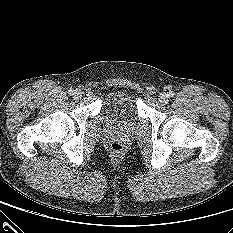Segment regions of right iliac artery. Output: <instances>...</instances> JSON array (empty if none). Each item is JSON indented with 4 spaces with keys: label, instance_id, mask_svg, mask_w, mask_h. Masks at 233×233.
Segmentation results:
<instances>
[{
    "label": "right iliac artery",
    "instance_id": "1",
    "mask_svg": "<svg viewBox=\"0 0 233 233\" xmlns=\"http://www.w3.org/2000/svg\"><path fill=\"white\" fill-rule=\"evenodd\" d=\"M73 92H74V90H73L72 88H70V89L68 90V93H69L70 95H72Z\"/></svg>",
    "mask_w": 233,
    "mask_h": 233
}]
</instances>
